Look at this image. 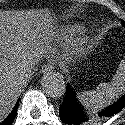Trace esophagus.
<instances>
[{
  "instance_id": "34e87169",
  "label": "esophagus",
  "mask_w": 125,
  "mask_h": 125,
  "mask_svg": "<svg viewBox=\"0 0 125 125\" xmlns=\"http://www.w3.org/2000/svg\"><path fill=\"white\" fill-rule=\"evenodd\" d=\"M43 72H52L53 71V67L51 66V65H45L44 67H43V70H42Z\"/></svg>"
}]
</instances>
